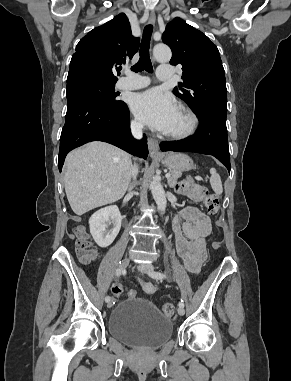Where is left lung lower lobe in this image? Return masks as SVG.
<instances>
[{
    "instance_id": "left-lung-lower-lobe-1",
    "label": "left lung lower lobe",
    "mask_w": 291,
    "mask_h": 381,
    "mask_svg": "<svg viewBox=\"0 0 291 381\" xmlns=\"http://www.w3.org/2000/svg\"><path fill=\"white\" fill-rule=\"evenodd\" d=\"M198 118L199 128L193 136L180 141L162 142L161 150L209 154L221 161L230 172L226 115L206 113Z\"/></svg>"
}]
</instances>
